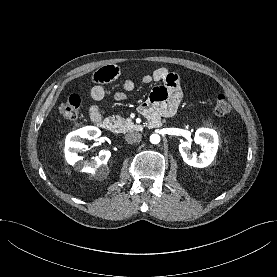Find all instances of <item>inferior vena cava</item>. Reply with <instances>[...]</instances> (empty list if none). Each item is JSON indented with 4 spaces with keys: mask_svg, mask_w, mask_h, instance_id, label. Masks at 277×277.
Instances as JSON below:
<instances>
[{
    "mask_svg": "<svg viewBox=\"0 0 277 277\" xmlns=\"http://www.w3.org/2000/svg\"><path fill=\"white\" fill-rule=\"evenodd\" d=\"M141 134L138 133V132H131V133H128L126 136H125V141L129 144H133V143H136L138 141H140L141 139Z\"/></svg>",
    "mask_w": 277,
    "mask_h": 277,
    "instance_id": "1",
    "label": "inferior vena cava"
}]
</instances>
